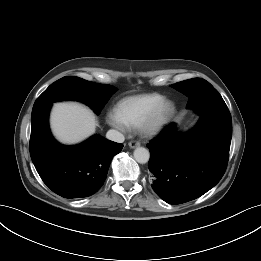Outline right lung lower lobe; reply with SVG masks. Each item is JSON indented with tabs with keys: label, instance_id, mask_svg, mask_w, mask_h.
I'll use <instances>...</instances> for the list:
<instances>
[{
	"label": "right lung lower lobe",
	"instance_id": "1",
	"mask_svg": "<svg viewBox=\"0 0 261 261\" xmlns=\"http://www.w3.org/2000/svg\"><path fill=\"white\" fill-rule=\"evenodd\" d=\"M51 106L32 112V162L43 182L56 194L69 199L88 197L104 184L110 162L123 145L96 135L76 146L59 144L48 126Z\"/></svg>",
	"mask_w": 261,
	"mask_h": 261
}]
</instances>
